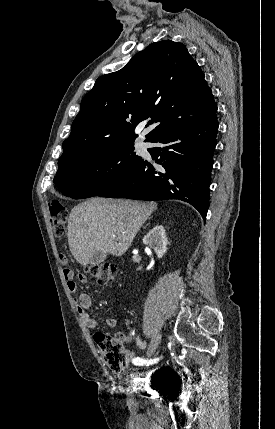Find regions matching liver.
<instances>
[{
	"label": "liver",
	"instance_id": "liver-1",
	"mask_svg": "<svg viewBox=\"0 0 275 429\" xmlns=\"http://www.w3.org/2000/svg\"><path fill=\"white\" fill-rule=\"evenodd\" d=\"M156 208L155 202L98 197L78 204L67 227L72 255L83 266L97 251L122 256Z\"/></svg>",
	"mask_w": 275,
	"mask_h": 429
}]
</instances>
